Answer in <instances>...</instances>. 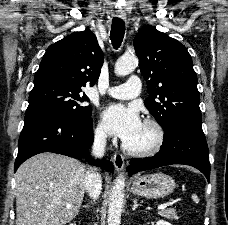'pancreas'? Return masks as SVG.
Returning <instances> with one entry per match:
<instances>
[{"label":"pancreas","instance_id":"1","mask_svg":"<svg viewBox=\"0 0 228 225\" xmlns=\"http://www.w3.org/2000/svg\"><path fill=\"white\" fill-rule=\"evenodd\" d=\"M159 215L165 219H179L176 209H163V211H159Z\"/></svg>","mask_w":228,"mask_h":225}]
</instances>
